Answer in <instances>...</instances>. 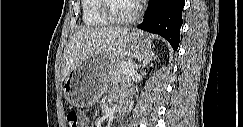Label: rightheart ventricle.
I'll use <instances>...</instances> for the list:
<instances>
[{"label":"right heart ventricle","instance_id":"right-heart-ventricle-1","mask_svg":"<svg viewBox=\"0 0 243 127\" xmlns=\"http://www.w3.org/2000/svg\"><path fill=\"white\" fill-rule=\"evenodd\" d=\"M82 21L88 27H100L110 23L102 14L100 0L81 1Z\"/></svg>","mask_w":243,"mask_h":127}]
</instances>
